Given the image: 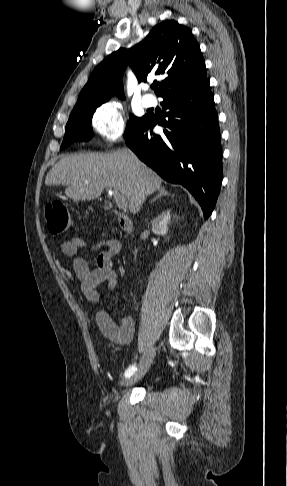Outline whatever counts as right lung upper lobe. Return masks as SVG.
<instances>
[{
  "instance_id": "cb5924a9",
  "label": "right lung upper lobe",
  "mask_w": 287,
  "mask_h": 486,
  "mask_svg": "<svg viewBox=\"0 0 287 486\" xmlns=\"http://www.w3.org/2000/svg\"><path fill=\"white\" fill-rule=\"evenodd\" d=\"M128 64L139 82L146 81L151 71L166 76L155 90L158 96L200 83L207 76L205 61L191 30L174 20H166L154 26L134 48H121L97 65L71 114L108 101L113 92L123 98L121 78Z\"/></svg>"
}]
</instances>
